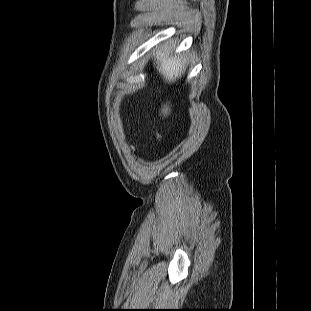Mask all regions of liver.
I'll use <instances>...</instances> for the list:
<instances>
[{"label":"liver","mask_w":311,"mask_h":311,"mask_svg":"<svg viewBox=\"0 0 311 311\" xmlns=\"http://www.w3.org/2000/svg\"><path fill=\"white\" fill-rule=\"evenodd\" d=\"M157 69L167 82H174L176 78L181 77L187 67V60L181 57H173L172 50L165 48L158 52L156 56ZM170 112L169 106H164L162 113L164 116Z\"/></svg>","instance_id":"1"}]
</instances>
